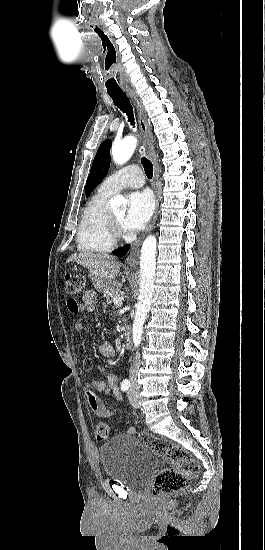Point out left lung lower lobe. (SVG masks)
I'll return each mask as SVG.
<instances>
[{
	"label": "left lung lower lobe",
	"mask_w": 265,
	"mask_h": 550,
	"mask_svg": "<svg viewBox=\"0 0 265 550\" xmlns=\"http://www.w3.org/2000/svg\"><path fill=\"white\" fill-rule=\"evenodd\" d=\"M129 247H130V246L127 245V246H124V247H122V248H119L117 251L114 252V255H116V256H124V255L128 252Z\"/></svg>",
	"instance_id": "obj_1"
}]
</instances>
